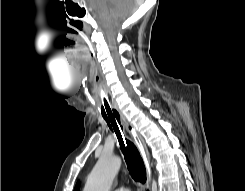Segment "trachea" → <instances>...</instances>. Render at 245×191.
Segmentation results:
<instances>
[{
	"instance_id": "1",
	"label": "trachea",
	"mask_w": 245,
	"mask_h": 191,
	"mask_svg": "<svg viewBox=\"0 0 245 191\" xmlns=\"http://www.w3.org/2000/svg\"><path fill=\"white\" fill-rule=\"evenodd\" d=\"M100 97L102 116L119 142L120 149L124 155L131 177L135 181L144 183L146 181V168L144 162L135 145L126 138L120 123V115L113 107L103 86L100 88Z\"/></svg>"
}]
</instances>
